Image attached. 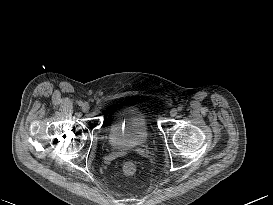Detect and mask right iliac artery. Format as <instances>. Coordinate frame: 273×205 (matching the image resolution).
Returning a JSON list of instances; mask_svg holds the SVG:
<instances>
[{"mask_svg":"<svg viewBox=\"0 0 273 205\" xmlns=\"http://www.w3.org/2000/svg\"><path fill=\"white\" fill-rule=\"evenodd\" d=\"M78 105H79V106H82V102H81V101H79V102H78Z\"/></svg>","mask_w":273,"mask_h":205,"instance_id":"82829eb1","label":"right iliac artery"}]
</instances>
